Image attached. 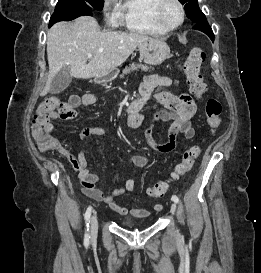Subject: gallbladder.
Returning <instances> with one entry per match:
<instances>
[{"label":"gallbladder","mask_w":261,"mask_h":273,"mask_svg":"<svg viewBox=\"0 0 261 273\" xmlns=\"http://www.w3.org/2000/svg\"><path fill=\"white\" fill-rule=\"evenodd\" d=\"M71 81L72 76L70 74V67L64 66L53 78L50 93L59 94L63 92L69 86Z\"/></svg>","instance_id":"obj_1"}]
</instances>
